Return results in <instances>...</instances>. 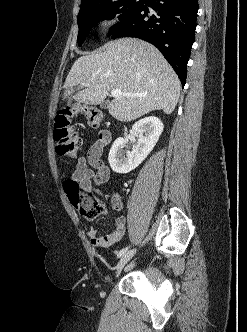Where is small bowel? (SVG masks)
I'll return each instance as SVG.
<instances>
[{"label": "small bowel", "instance_id": "obj_1", "mask_svg": "<svg viewBox=\"0 0 247 332\" xmlns=\"http://www.w3.org/2000/svg\"><path fill=\"white\" fill-rule=\"evenodd\" d=\"M111 141L108 131H101L97 141L90 147L87 157H79L71 180L76 182L84 191H90L92 185H104L110 177L109 168L102 162L101 155L103 148ZM91 165V167H89ZM113 209L120 211L123 208V201L119 194L111 197ZM126 216L118 215L114 219V229L111 233L99 236L94 227H90L87 235L94 247H109L119 242L126 231Z\"/></svg>", "mask_w": 247, "mask_h": 332}]
</instances>
